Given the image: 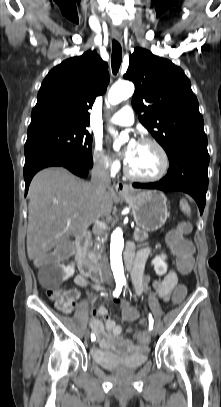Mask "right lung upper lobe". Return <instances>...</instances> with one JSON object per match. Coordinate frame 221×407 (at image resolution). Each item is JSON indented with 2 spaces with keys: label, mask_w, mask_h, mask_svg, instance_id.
Here are the masks:
<instances>
[{
  "label": "right lung upper lobe",
  "mask_w": 221,
  "mask_h": 407,
  "mask_svg": "<svg viewBox=\"0 0 221 407\" xmlns=\"http://www.w3.org/2000/svg\"><path fill=\"white\" fill-rule=\"evenodd\" d=\"M108 65L95 51L63 61L44 79L29 128L64 124L87 127L88 109L109 83Z\"/></svg>",
  "instance_id": "1"
}]
</instances>
